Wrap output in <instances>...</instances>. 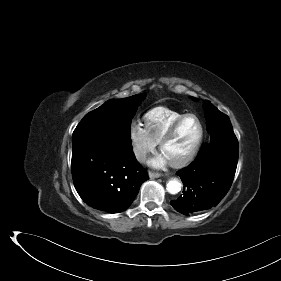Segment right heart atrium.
Here are the masks:
<instances>
[{"label": "right heart atrium", "instance_id": "obj_1", "mask_svg": "<svg viewBox=\"0 0 281 281\" xmlns=\"http://www.w3.org/2000/svg\"><path fill=\"white\" fill-rule=\"evenodd\" d=\"M129 136L134 156L139 161H143L149 153L154 151L157 145L146 128L137 122L132 123Z\"/></svg>", "mask_w": 281, "mask_h": 281}]
</instances>
